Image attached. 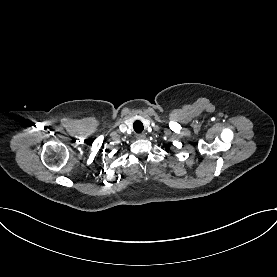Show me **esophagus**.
Segmentation results:
<instances>
[{
	"label": "esophagus",
	"instance_id": "34e87169",
	"mask_svg": "<svg viewBox=\"0 0 277 277\" xmlns=\"http://www.w3.org/2000/svg\"><path fill=\"white\" fill-rule=\"evenodd\" d=\"M136 138L137 139H145L146 138V135L144 133H140V134H137L136 135Z\"/></svg>",
	"mask_w": 277,
	"mask_h": 277
}]
</instances>
